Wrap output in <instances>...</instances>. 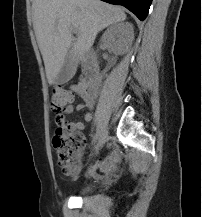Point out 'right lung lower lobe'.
<instances>
[{"instance_id":"obj_1","label":"right lung lower lobe","mask_w":202,"mask_h":217,"mask_svg":"<svg viewBox=\"0 0 202 217\" xmlns=\"http://www.w3.org/2000/svg\"><path fill=\"white\" fill-rule=\"evenodd\" d=\"M110 4L123 5L140 20L147 17L152 0H102Z\"/></svg>"}]
</instances>
